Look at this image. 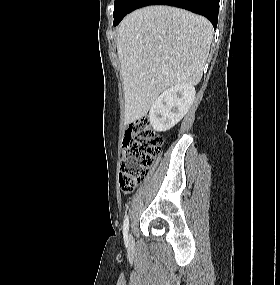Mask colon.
<instances>
[{
  "label": "colon",
  "mask_w": 280,
  "mask_h": 285,
  "mask_svg": "<svg viewBox=\"0 0 280 285\" xmlns=\"http://www.w3.org/2000/svg\"><path fill=\"white\" fill-rule=\"evenodd\" d=\"M162 143V137L152 129L147 119H137L129 125L124 133L119 171V185L123 193L133 192L147 175Z\"/></svg>",
  "instance_id": "1"
}]
</instances>
